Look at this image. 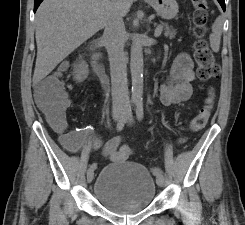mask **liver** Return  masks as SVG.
I'll return each instance as SVG.
<instances>
[{"mask_svg": "<svg viewBox=\"0 0 245 225\" xmlns=\"http://www.w3.org/2000/svg\"><path fill=\"white\" fill-rule=\"evenodd\" d=\"M133 0H44L36 11L38 82L81 44L106 25L113 4L125 16Z\"/></svg>", "mask_w": 245, "mask_h": 225, "instance_id": "6515ba94", "label": "liver"}]
</instances>
